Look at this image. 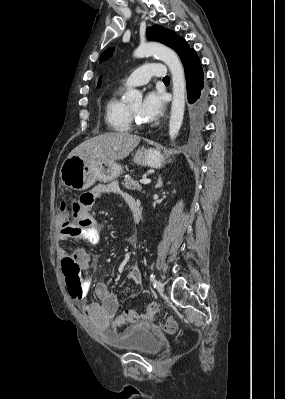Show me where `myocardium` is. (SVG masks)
<instances>
[{
    "mask_svg": "<svg viewBox=\"0 0 285 399\" xmlns=\"http://www.w3.org/2000/svg\"><path fill=\"white\" fill-rule=\"evenodd\" d=\"M129 114H130V119H131V123L137 127H142L144 125V122L136 115L135 112H133L131 110V108L129 107Z\"/></svg>",
    "mask_w": 285,
    "mask_h": 399,
    "instance_id": "1",
    "label": "myocardium"
}]
</instances>
